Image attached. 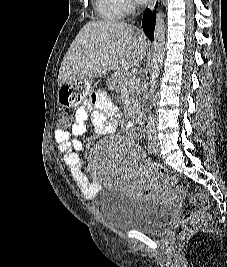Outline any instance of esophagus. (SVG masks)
Here are the masks:
<instances>
[{"label":"esophagus","mask_w":227,"mask_h":267,"mask_svg":"<svg viewBox=\"0 0 227 267\" xmlns=\"http://www.w3.org/2000/svg\"><path fill=\"white\" fill-rule=\"evenodd\" d=\"M156 3V0H149L148 8L152 9Z\"/></svg>","instance_id":"obj_1"}]
</instances>
